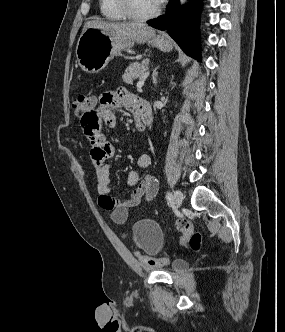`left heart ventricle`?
Listing matches in <instances>:
<instances>
[{
    "mask_svg": "<svg viewBox=\"0 0 285 332\" xmlns=\"http://www.w3.org/2000/svg\"><path fill=\"white\" fill-rule=\"evenodd\" d=\"M136 11L140 14H147L154 11L158 6L154 0H133Z\"/></svg>",
    "mask_w": 285,
    "mask_h": 332,
    "instance_id": "obj_1",
    "label": "left heart ventricle"
}]
</instances>
